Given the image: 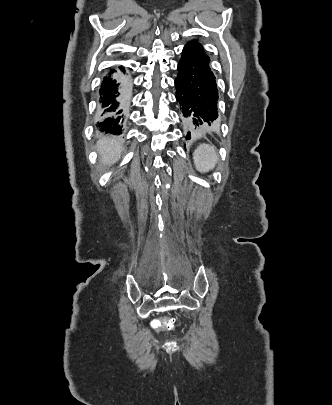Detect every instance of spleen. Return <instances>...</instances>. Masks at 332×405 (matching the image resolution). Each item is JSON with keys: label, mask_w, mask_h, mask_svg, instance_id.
Here are the masks:
<instances>
[{"label": "spleen", "mask_w": 332, "mask_h": 405, "mask_svg": "<svg viewBox=\"0 0 332 405\" xmlns=\"http://www.w3.org/2000/svg\"><path fill=\"white\" fill-rule=\"evenodd\" d=\"M193 160L199 172H209L215 168L219 160L216 147L207 143L198 145L193 153Z\"/></svg>", "instance_id": "3e777b00"}]
</instances>
